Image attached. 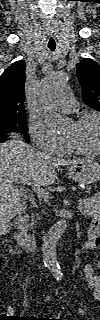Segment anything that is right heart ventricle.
Wrapping results in <instances>:
<instances>
[{"mask_svg":"<svg viewBox=\"0 0 100 320\" xmlns=\"http://www.w3.org/2000/svg\"><path fill=\"white\" fill-rule=\"evenodd\" d=\"M59 153H63V154H70V153H73L74 150H72L71 148H69L66 143H63L61 145V147L59 148L58 150Z\"/></svg>","mask_w":100,"mask_h":320,"instance_id":"1","label":"right heart ventricle"}]
</instances>
